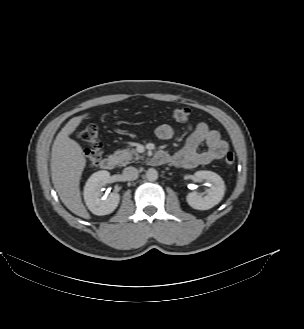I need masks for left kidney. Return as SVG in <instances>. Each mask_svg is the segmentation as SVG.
<instances>
[{"label":"left kidney","instance_id":"5707ae66","mask_svg":"<svg viewBox=\"0 0 304 329\" xmlns=\"http://www.w3.org/2000/svg\"><path fill=\"white\" fill-rule=\"evenodd\" d=\"M195 180L207 181L210 188L206 195H198L196 192L187 195L188 204L197 210H208L217 205L223 198L225 184L222 178L212 171H197L194 174Z\"/></svg>","mask_w":304,"mask_h":329}]
</instances>
